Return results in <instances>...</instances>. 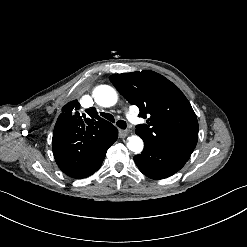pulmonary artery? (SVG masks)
Segmentation results:
<instances>
[{
	"instance_id": "e3ab8cb5",
	"label": "pulmonary artery",
	"mask_w": 247,
	"mask_h": 247,
	"mask_svg": "<svg viewBox=\"0 0 247 247\" xmlns=\"http://www.w3.org/2000/svg\"><path fill=\"white\" fill-rule=\"evenodd\" d=\"M128 115V114H127ZM129 116V115H128ZM130 123L132 124V125H134V126H136V127H138V126H140L141 125V120L140 119H138V118H136V117H131L130 118Z\"/></svg>"
}]
</instances>
